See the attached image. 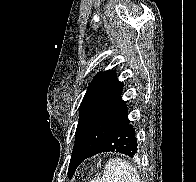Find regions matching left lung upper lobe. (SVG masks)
Wrapping results in <instances>:
<instances>
[{
  "label": "left lung upper lobe",
  "instance_id": "5c2ea615",
  "mask_svg": "<svg viewBox=\"0 0 196 182\" xmlns=\"http://www.w3.org/2000/svg\"><path fill=\"white\" fill-rule=\"evenodd\" d=\"M122 88L113 69L99 72L94 77L80 106L72 154L93 151L127 115ZM74 168L75 159L71 157L69 176Z\"/></svg>",
  "mask_w": 196,
  "mask_h": 182
}]
</instances>
